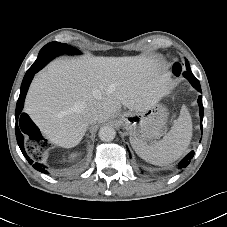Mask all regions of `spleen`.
I'll use <instances>...</instances> for the list:
<instances>
[{"mask_svg":"<svg viewBox=\"0 0 227 227\" xmlns=\"http://www.w3.org/2000/svg\"><path fill=\"white\" fill-rule=\"evenodd\" d=\"M191 138L192 119L184 105L170 131L161 140L147 144L130 138V143L137 155L146 162L165 166L181 157L188 148Z\"/></svg>","mask_w":227,"mask_h":227,"instance_id":"obj_1","label":"spleen"}]
</instances>
